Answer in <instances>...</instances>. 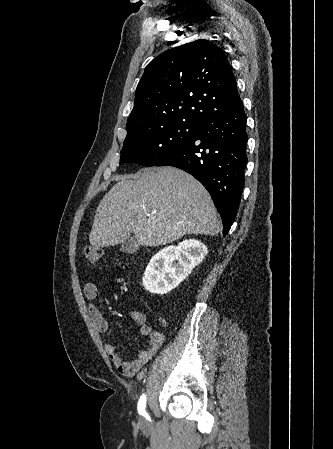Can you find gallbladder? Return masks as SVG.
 Listing matches in <instances>:
<instances>
[{
    "instance_id": "bac80fb5",
    "label": "gallbladder",
    "mask_w": 333,
    "mask_h": 449,
    "mask_svg": "<svg viewBox=\"0 0 333 449\" xmlns=\"http://www.w3.org/2000/svg\"><path fill=\"white\" fill-rule=\"evenodd\" d=\"M139 248L138 242L134 238H127L121 244V250L125 253H135Z\"/></svg>"
}]
</instances>
